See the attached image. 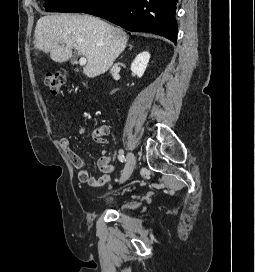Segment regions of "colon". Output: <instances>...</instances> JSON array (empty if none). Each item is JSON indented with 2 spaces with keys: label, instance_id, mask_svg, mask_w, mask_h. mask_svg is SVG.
Wrapping results in <instances>:
<instances>
[{
  "label": "colon",
  "instance_id": "colon-1",
  "mask_svg": "<svg viewBox=\"0 0 255 272\" xmlns=\"http://www.w3.org/2000/svg\"><path fill=\"white\" fill-rule=\"evenodd\" d=\"M66 75L61 71H48L44 75V84L48 87L49 91L53 95H58L65 82ZM107 130L104 127H100L95 131L97 138H101L106 134Z\"/></svg>",
  "mask_w": 255,
  "mask_h": 272
}]
</instances>
